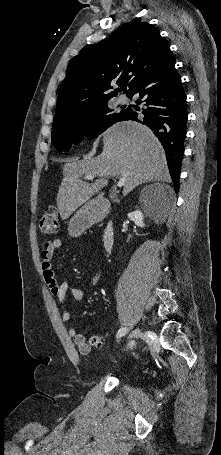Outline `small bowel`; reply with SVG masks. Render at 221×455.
<instances>
[{
  "label": "small bowel",
  "mask_w": 221,
  "mask_h": 455,
  "mask_svg": "<svg viewBox=\"0 0 221 455\" xmlns=\"http://www.w3.org/2000/svg\"><path fill=\"white\" fill-rule=\"evenodd\" d=\"M60 247L61 241L59 239L46 242L41 254L40 267L45 284L51 294L56 297L60 303V316L62 321L66 323L70 320V313L64 306V299L66 295L71 293L75 299L79 300L85 297V292L74 287L68 281H64L62 283H58L56 281L55 272L52 266V259ZM97 280L98 277L94 279V283H96ZM68 333L76 343L81 354H88L91 351L92 347L85 341L83 335L76 328H70Z\"/></svg>",
  "instance_id": "obj_1"
}]
</instances>
